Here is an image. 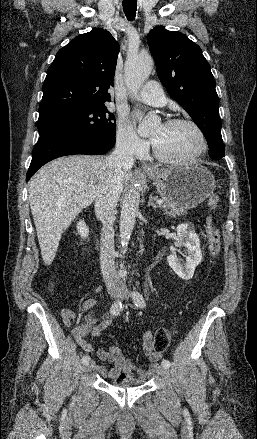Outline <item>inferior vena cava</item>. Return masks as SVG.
Masks as SVG:
<instances>
[{
	"label": "inferior vena cava",
	"mask_w": 257,
	"mask_h": 439,
	"mask_svg": "<svg viewBox=\"0 0 257 439\" xmlns=\"http://www.w3.org/2000/svg\"><path fill=\"white\" fill-rule=\"evenodd\" d=\"M107 162L112 173L95 199V213L103 224L100 240V266L106 286L121 288L122 282L116 272L114 261V210L123 189V172L134 164L133 149L128 144L118 143L113 153L107 157Z\"/></svg>",
	"instance_id": "602c4592"
}]
</instances>
